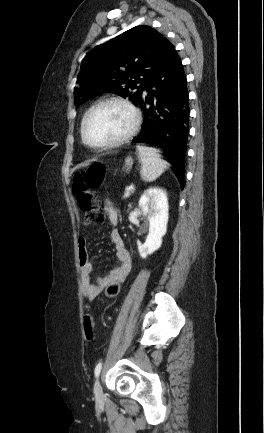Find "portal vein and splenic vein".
Returning a JSON list of instances; mask_svg holds the SVG:
<instances>
[{"label": "portal vein and splenic vein", "instance_id": "obj_1", "mask_svg": "<svg viewBox=\"0 0 264 433\" xmlns=\"http://www.w3.org/2000/svg\"><path fill=\"white\" fill-rule=\"evenodd\" d=\"M134 190L133 187H126L125 188V194L128 195L130 192H132Z\"/></svg>", "mask_w": 264, "mask_h": 433}]
</instances>
